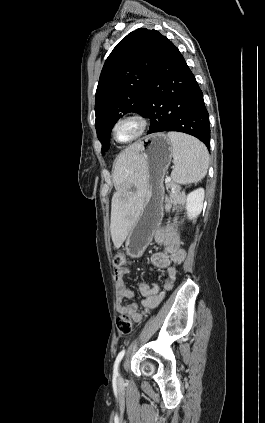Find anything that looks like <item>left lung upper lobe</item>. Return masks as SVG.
<instances>
[{"mask_svg": "<svg viewBox=\"0 0 265 423\" xmlns=\"http://www.w3.org/2000/svg\"><path fill=\"white\" fill-rule=\"evenodd\" d=\"M164 36L139 28L123 38L108 56L95 95V128L102 151L121 113L141 114L144 93L157 62Z\"/></svg>", "mask_w": 265, "mask_h": 423, "instance_id": "1", "label": "left lung upper lobe"}]
</instances>
